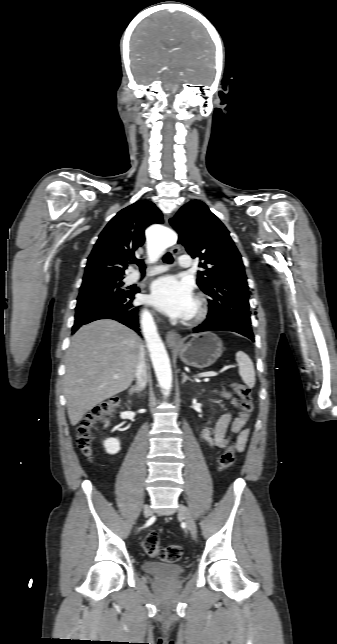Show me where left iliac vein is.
Masks as SVG:
<instances>
[{
  "instance_id": "1",
  "label": "left iliac vein",
  "mask_w": 337,
  "mask_h": 644,
  "mask_svg": "<svg viewBox=\"0 0 337 644\" xmlns=\"http://www.w3.org/2000/svg\"><path fill=\"white\" fill-rule=\"evenodd\" d=\"M179 515L185 520L188 530L190 531L193 538H196V524L194 518L189 511V509L180 504L179 506Z\"/></svg>"
}]
</instances>
